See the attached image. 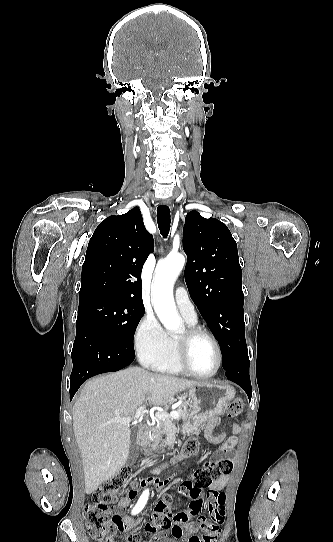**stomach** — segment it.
<instances>
[{"instance_id":"stomach-1","label":"stomach","mask_w":333,"mask_h":542,"mask_svg":"<svg viewBox=\"0 0 333 542\" xmlns=\"http://www.w3.org/2000/svg\"><path fill=\"white\" fill-rule=\"evenodd\" d=\"M185 396L190 398L192 414L189 422L182 426L186 437H197L199 428L215 416H222L227 402L235 396V390L229 384H208L199 382L198 386L188 388Z\"/></svg>"}]
</instances>
